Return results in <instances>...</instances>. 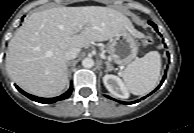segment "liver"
<instances>
[{
  "instance_id": "6515ba94",
  "label": "liver",
  "mask_w": 194,
  "mask_h": 133,
  "mask_svg": "<svg viewBox=\"0 0 194 133\" xmlns=\"http://www.w3.org/2000/svg\"><path fill=\"white\" fill-rule=\"evenodd\" d=\"M124 30L142 37L124 14L107 7H57L35 12L9 42L7 72L25 91L53 97L68 83V48L106 41Z\"/></svg>"
}]
</instances>
